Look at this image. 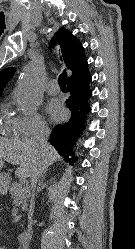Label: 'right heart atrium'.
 <instances>
[{
  "mask_svg": "<svg viewBox=\"0 0 135 249\" xmlns=\"http://www.w3.org/2000/svg\"><path fill=\"white\" fill-rule=\"evenodd\" d=\"M14 123L18 135L22 137L46 134L49 130L43 116L38 112L19 115L14 118Z\"/></svg>",
  "mask_w": 135,
  "mask_h": 249,
  "instance_id": "right-heart-atrium-1",
  "label": "right heart atrium"
}]
</instances>
